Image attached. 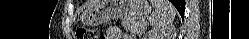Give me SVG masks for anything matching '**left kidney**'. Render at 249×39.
I'll use <instances>...</instances> for the list:
<instances>
[{
  "mask_svg": "<svg viewBox=\"0 0 249 39\" xmlns=\"http://www.w3.org/2000/svg\"><path fill=\"white\" fill-rule=\"evenodd\" d=\"M171 38L172 37H170L169 34L155 30L148 32V34H146V36L144 37V39H171Z\"/></svg>",
  "mask_w": 249,
  "mask_h": 39,
  "instance_id": "obj_1",
  "label": "left kidney"
}]
</instances>
